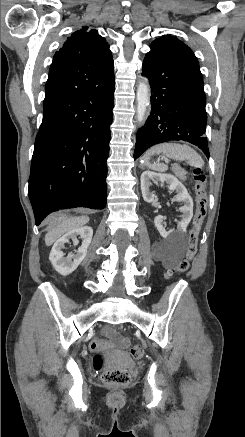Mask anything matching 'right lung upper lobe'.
I'll use <instances>...</instances> for the list:
<instances>
[{
	"mask_svg": "<svg viewBox=\"0 0 245 437\" xmlns=\"http://www.w3.org/2000/svg\"><path fill=\"white\" fill-rule=\"evenodd\" d=\"M109 44L87 26L75 31L54 55L45 86L44 108L88 94L114 79Z\"/></svg>",
	"mask_w": 245,
	"mask_h": 437,
	"instance_id": "cb5924a9",
	"label": "right lung upper lobe"
}]
</instances>
